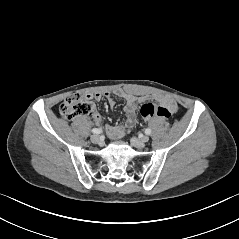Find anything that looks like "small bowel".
<instances>
[{"mask_svg": "<svg viewBox=\"0 0 239 239\" xmlns=\"http://www.w3.org/2000/svg\"><path fill=\"white\" fill-rule=\"evenodd\" d=\"M116 95L122 98L125 102L124 111L126 113V121L125 124L121 125H111L106 127L107 135L111 139H120L123 138L127 132L132 129L137 123V116H136V108L137 105L143 101H145V97L142 96H135L133 94L118 91ZM90 98H94L95 100L99 101L102 98H105L108 102V105L113 108L115 106V101L112 97L110 92L104 93H95L94 95H88ZM158 100L162 103L164 107H166L170 113H175L178 109L176 102L168 97V96H160ZM93 120L95 124H100L102 121V117L100 114L95 113L93 115Z\"/></svg>", "mask_w": 239, "mask_h": 239, "instance_id": "1", "label": "small bowel"}]
</instances>
